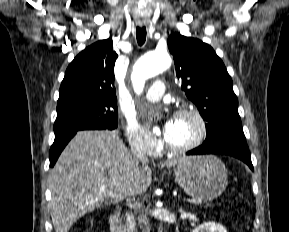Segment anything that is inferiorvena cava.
I'll return each mask as SVG.
<instances>
[{
    "label": "inferior vena cava",
    "instance_id": "inferior-vena-cava-1",
    "mask_svg": "<svg viewBox=\"0 0 289 232\" xmlns=\"http://www.w3.org/2000/svg\"><path fill=\"white\" fill-rule=\"evenodd\" d=\"M131 157L133 159L134 162L139 163V162H143V163H147L148 162V158L146 155V149L145 147L141 144V142H135L131 144ZM142 204L140 202L135 203L134 207L137 209V211H139V216H138V222L140 224V228L142 229V232H150V225L148 222V219L146 217V215H144L143 213H140V208H141Z\"/></svg>",
    "mask_w": 289,
    "mask_h": 232
}]
</instances>
